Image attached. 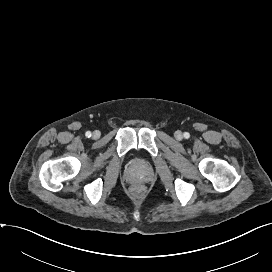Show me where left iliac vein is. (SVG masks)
<instances>
[{
	"label": "left iliac vein",
	"instance_id": "obj_1",
	"mask_svg": "<svg viewBox=\"0 0 272 272\" xmlns=\"http://www.w3.org/2000/svg\"><path fill=\"white\" fill-rule=\"evenodd\" d=\"M176 137H177L178 139H180V138L182 137V134H181L180 131H177V132H176Z\"/></svg>",
	"mask_w": 272,
	"mask_h": 272
}]
</instances>
